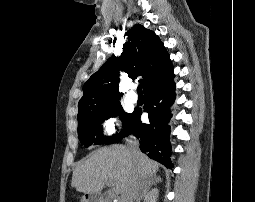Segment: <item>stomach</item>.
<instances>
[{
	"label": "stomach",
	"instance_id": "stomach-1",
	"mask_svg": "<svg viewBox=\"0 0 255 202\" xmlns=\"http://www.w3.org/2000/svg\"><path fill=\"white\" fill-rule=\"evenodd\" d=\"M81 202H91V197L90 195H84L82 198H81Z\"/></svg>",
	"mask_w": 255,
	"mask_h": 202
}]
</instances>
